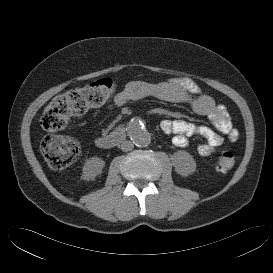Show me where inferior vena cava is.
<instances>
[{
    "mask_svg": "<svg viewBox=\"0 0 273 273\" xmlns=\"http://www.w3.org/2000/svg\"><path fill=\"white\" fill-rule=\"evenodd\" d=\"M120 148L122 151L128 152L134 148V144L131 141L125 140L120 144Z\"/></svg>",
    "mask_w": 273,
    "mask_h": 273,
    "instance_id": "602c4592",
    "label": "inferior vena cava"
}]
</instances>
